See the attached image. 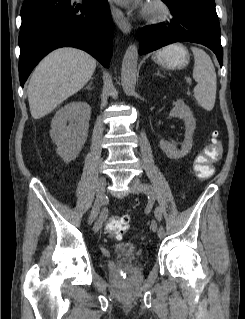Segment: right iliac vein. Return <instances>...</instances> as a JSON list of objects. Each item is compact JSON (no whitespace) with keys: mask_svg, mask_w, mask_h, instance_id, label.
<instances>
[{"mask_svg":"<svg viewBox=\"0 0 245 319\" xmlns=\"http://www.w3.org/2000/svg\"><path fill=\"white\" fill-rule=\"evenodd\" d=\"M105 185H106V179L104 177L100 178L99 182H98L95 203H94V206L91 210V213H90L89 219H88L89 224H92L94 222V220L96 219V217L100 211V208L102 207V205L105 204ZM98 224H99V222H96L94 227H93V230L95 232L98 231Z\"/></svg>","mask_w":245,"mask_h":319,"instance_id":"obj_1","label":"right iliac vein"}]
</instances>
